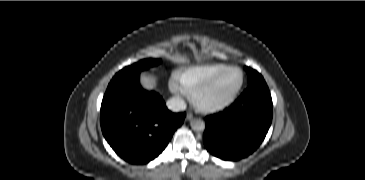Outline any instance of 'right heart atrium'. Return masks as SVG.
Here are the masks:
<instances>
[{
  "instance_id": "obj_1",
  "label": "right heart atrium",
  "mask_w": 365,
  "mask_h": 180,
  "mask_svg": "<svg viewBox=\"0 0 365 180\" xmlns=\"http://www.w3.org/2000/svg\"><path fill=\"white\" fill-rule=\"evenodd\" d=\"M170 87H171V91L178 97V98H182V96L184 95V91L182 90V88L179 87V85L177 84V82L175 80H172L170 83Z\"/></svg>"
}]
</instances>
